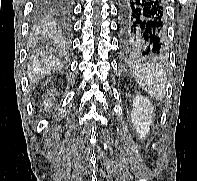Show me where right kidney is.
Masks as SVG:
<instances>
[{
  "label": "right kidney",
  "mask_w": 197,
  "mask_h": 181,
  "mask_svg": "<svg viewBox=\"0 0 197 181\" xmlns=\"http://www.w3.org/2000/svg\"><path fill=\"white\" fill-rule=\"evenodd\" d=\"M50 96L54 98V95L51 94ZM42 105L45 107V109L51 108L52 107V101H51V99L50 98L45 99L43 101Z\"/></svg>",
  "instance_id": "ca27d5eb"
}]
</instances>
